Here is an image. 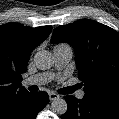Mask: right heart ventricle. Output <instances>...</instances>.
I'll return each instance as SVG.
<instances>
[{
    "label": "right heart ventricle",
    "mask_w": 119,
    "mask_h": 119,
    "mask_svg": "<svg viewBox=\"0 0 119 119\" xmlns=\"http://www.w3.org/2000/svg\"><path fill=\"white\" fill-rule=\"evenodd\" d=\"M59 46H62V45H57L56 47H59Z\"/></svg>",
    "instance_id": "1"
}]
</instances>
